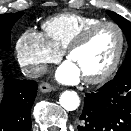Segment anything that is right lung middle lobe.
<instances>
[{
  "mask_svg": "<svg viewBox=\"0 0 131 131\" xmlns=\"http://www.w3.org/2000/svg\"><path fill=\"white\" fill-rule=\"evenodd\" d=\"M24 12L0 14V49H10V34L15 22Z\"/></svg>",
  "mask_w": 131,
  "mask_h": 131,
  "instance_id": "1",
  "label": "right lung middle lobe"
}]
</instances>
